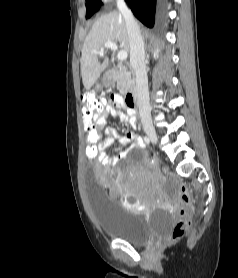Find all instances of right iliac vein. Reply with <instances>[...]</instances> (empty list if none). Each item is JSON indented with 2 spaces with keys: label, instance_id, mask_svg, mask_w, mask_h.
<instances>
[{
  "label": "right iliac vein",
  "instance_id": "obj_1",
  "mask_svg": "<svg viewBox=\"0 0 238 278\" xmlns=\"http://www.w3.org/2000/svg\"><path fill=\"white\" fill-rule=\"evenodd\" d=\"M144 130H145V133L147 134L148 138L150 139V141L152 143H157L158 138H157L155 129L150 125H146L144 127Z\"/></svg>",
  "mask_w": 238,
  "mask_h": 278
}]
</instances>
